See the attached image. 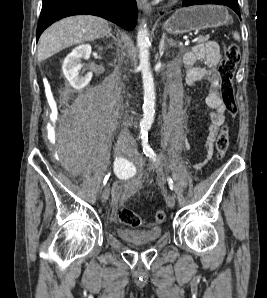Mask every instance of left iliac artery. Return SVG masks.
I'll return each mask as SVG.
<instances>
[{
  "instance_id": "44dca946",
  "label": "left iliac artery",
  "mask_w": 267,
  "mask_h": 298,
  "mask_svg": "<svg viewBox=\"0 0 267 298\" xmlns=\"http://www.w3.org/2000/svg\"><path fill=\"white\" fill-rule=\"evenodd\" d=\"M142 139V147H143V152L144 154L149 157L150 159L152 160H156V154L155 152L153 151V149L151 148L149 142H148V136H142L141 137ZM167 181H168V185L170 187L171 190H173V181L170 177L167 178Z\"/></svg>"
}]
</instances>
